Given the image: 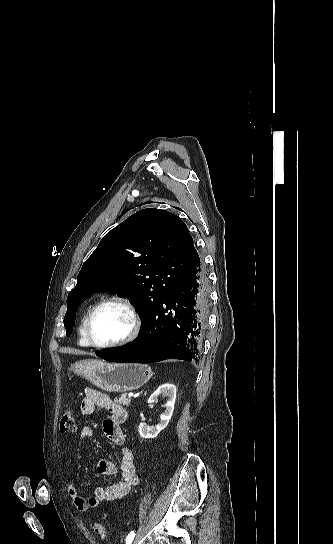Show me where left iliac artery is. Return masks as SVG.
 <instances>
[{
    "instance_id": "44dca946",
    "label": "left iliac artery",
    "mask_w": 333,
    "mask_h": 544,
    "mask_svg": "<svg viewBox=\"0 0 333 544\" xmlns=\"http://www.w3.org/2000/svg\"><path fill=\"white\" fill-rule=\"evenodd\" d=\"M134 537H135V532L132 531L128 534V536L126 537V544H131L132 541L134 540Z\"/></svg>"
}]
</instances>
